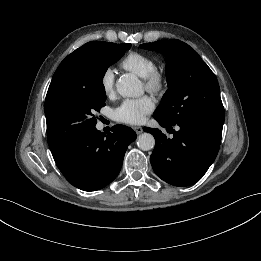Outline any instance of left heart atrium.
<instances>
[{
	"mask_svg": "<svg viewBox=\"0 0 261 261\" xmlns=\"http://www.w3.org/2000/svg\"><path fill=\"white\" fill-rule=\"evenodd\" d=\"M154 107L153 100L147 96L126 99L114 109L113 117L121 123L131 125L140 124L154 110Z\"/></svg>",
	"mask_w": 261,
	"mask_h": 261,
	"instance_id": "left-heart-atrium-1",
	"label": "left heart atrium"
}]
</instances>
